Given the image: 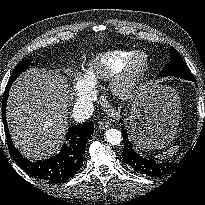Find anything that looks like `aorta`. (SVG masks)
I'll list each match as a JSON object with an SVG mask.
<instances>
[{"label":"aorta","mask_w":205,"mask_h":205,"mask_svg":"<svg viewBox=\"0 0 205 205\" xmlns=\"http://www.w3.org/2000/svg\"><path fill=\"white\" fill-rule=\"evenodd\" d=\"M105 136L107 142H109L111 145H118L122 141V134L117 129H108L105 133Z\"/></svg>","instance_id":"obj_1"}]
</instances>
